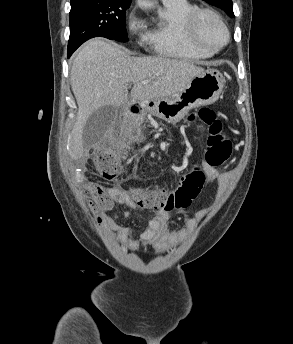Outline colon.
<instances>
[{
  "label": "colon",
  "instance_id": "obj_1",
  "mask_svg": "<svg viewBox=\"0 0 293 344\" xmlns=\"http://www.w3.org/2000/svg\"><path fill=\"white\" fill-rule=\"evenodd\" d=\"M188 124H196L205 128L209 133L205 163L209 167L217 168L224 165L232 154V141L217 111L212 108H202L196 114L187 118ZM96 171L105 179H115L122 173V163L113 153L98 151L90 158ZM127 192L141 206L147 208H186L199 194L202 185L195 175H188L180 185L171 190L149 189L137 186H128ZM89 208L98 217L108 213L113 207V198L109 192L98 184H90L88 187Z\"/></svg>",
  "mask_w": 293,
  "mask_h": 344
}]
</instances>
